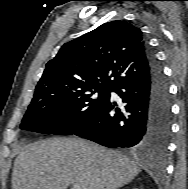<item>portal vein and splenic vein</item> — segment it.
I'll use <instances>...</instances> for the list:
<instances>
[{
    "mask_svg": "<svg viewBox=\"0 0 188 189\" xmlns=\"http://www.w3.org/2000/svg\"><path fill=\"white\" fill-rule=\"evenodd\" d=\"M72 189H81L79 184H73Z\"/></svg>",
    "mask_w": 188,
    "mask_h": 189,
    "instance_id": "18ae733b",
    "label": "portal vein and splenic vein"
}]
</instances>
